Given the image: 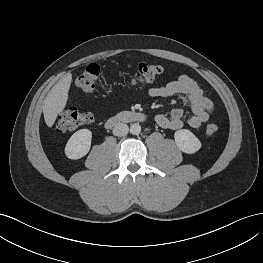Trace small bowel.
<instances>
[{"instance_id":"small-bowel-1","label":"small bowel","mask_w":263,"mask_h":263,"mask_svg":"<svg viewBox=\"0 0 263 263\" xmlns=\"http://www.w3.org/2000/svg\"><path fill=\"white\" fill-rule=\"evenodd\" d=\"M148 93L154 98L184 95L189 102L191 108L189 115L181 108L173 109L169 115L163 113L156 115V123L164 129L178 130L185 124L199 128L209 121L215 112L212 101L205 96L202 87L187 75H181L163 86H153Z\"/></svg>"}]
</instances>
